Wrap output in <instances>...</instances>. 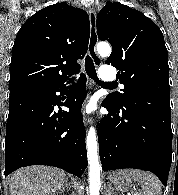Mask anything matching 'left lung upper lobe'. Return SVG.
I'll list each match as a JSON object with an SVG mask.
<instances>
[{
	"mask_svg": "<svg viewBox=\"0 0 178 195\" xmlns=\"http://www.w3.org/2000/svg\"><path fill=\"white\" fill-rule=\"evenodd\" d=\"M100 40L112 45L105 61L117 70L124 89L108 96L116 106L148 104L171 111L168 51L160 28L140 11L107 2L97 15Z\"/></svg>",
	"mask_w": 178,
	"mask_h": 195,
	"instance_id": "obj_1",
	"label": "left lung upper lobe"
}]
</instances>
